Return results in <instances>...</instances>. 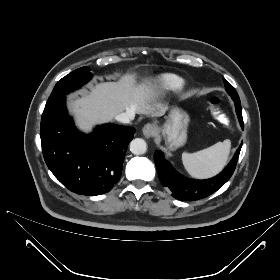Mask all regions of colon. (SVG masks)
<instances>
[{
	"mask_svg": "<svg viewBox=\"0 0 280 280\" xmlns=\"http://www.w3.org/2000/svg\"><path fill=\"white\" fill-rule=\"evenodd\" d=\"M221 105H222V100L219 97H213L210 100V108H211L212 114H213L214 118L219 122L224 121L226 118V115L223 112ZM224 127L231 134L236 133L239 129L238 124L232 118H229L225 121Z\"/></svg>",
	"mask_w": 280,
	"mask_h": 280,
	"instance_id": "obj_1",
	"label": "colon"
}]
</instances>
